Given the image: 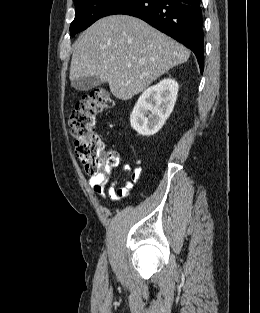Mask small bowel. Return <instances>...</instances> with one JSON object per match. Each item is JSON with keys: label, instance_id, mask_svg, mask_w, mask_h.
Returning a JSON list of instances; mask_svg holds the SVG:
<instances>
[{"label": "small bowel", "instance_id": "small-bowel-1", "mask_svg": "<svg viewBox=\"0 0 260 313\" xmlns=\"http://www.w3.org/2000/svg\"><path fill=\"white\" fill-rule=\"evenodd\" d=\"M140 175L141 170L134 169L122 187H117L115 183H109L108 176L103 175L89 177L88 184L100 198L105 199L108 195L114 203H119L122 198L127 197L129 189L138 181Z\"/></svg>", "mask_w": 260, "mask_h": 313}]
</instances>
